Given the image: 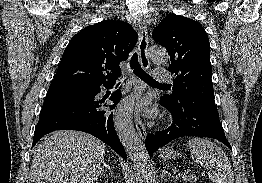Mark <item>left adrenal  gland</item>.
<instances>
[{"instance_id":"left-adrenal-gland-1","label":"left adrenal gland","mask_w":262,"mask_h":183,"mask_svg":"<svg viewBox=\"0 0 262 183\" xmlns=\"http://www.w3.org/2000/svg\"><path fill=\"white\" fill-rule=\"evenodd\" d=\"M166 174H168V176L173 177L174 174H175V170L173 169V174H172L171 172L167 171V167L164 166V167H163V171H162V177H164Z\"/></svg>"}]
</instances>
